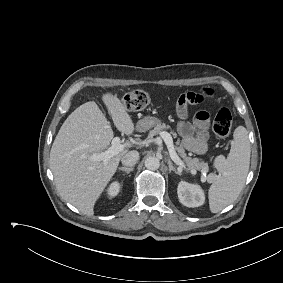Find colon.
Instances as JSON below:
<instances>
[{
  "label": "colon",
  "instance_id": "5ec220e1",
  "mask_svg": "<svg viewBox=\"0 0 283 283\" xmlns=\"http://www.w3.org/2000/svg\"><path fill=\"white\" fill-rule=\"evenodd\" d=\"M196 93L204 98H210L214 94V90L210 87H202ZM150 101L149 94L142 90L136 89L126 94L123 99V105L129 111H139L144 109ZM232 113L227 108H221L213 122V131L219 137H227L232 128Z\"/></svg>",
  "mask_w": 283,
  "mask_h": 283
}]
</instances>
